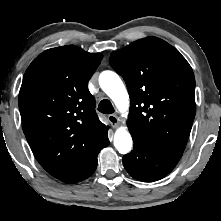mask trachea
I'll use <instances>...</instances> for the list:
<instances>
[{
	"instance_id": "3493384b",
	"label": "trachea",
	"mask_w": 221,
	"mask_h": 221,
	"mask_svg": "<svg viewBox=\"0 0 221 221\" xmlns=\"http://www.w3.org/2000/svg\"><path fill=\"white\" fill-rule=\"evenodd\" d=\"M98 111L103 114H112L114 112V108L109 100L104 99L99 103Z\"/></svg>"
}]
</instances>
